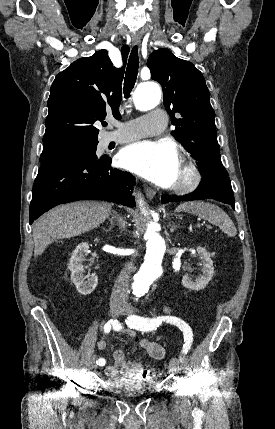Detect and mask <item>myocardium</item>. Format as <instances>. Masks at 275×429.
<instances>
[{"instance_id":"myocardium-1","label":"myocardium","mask_w":275,"mask_h":429,"mask_svg":"<svg viewBox=\"0 0 275 429\" xmlns=\"http://www.w3.org/2000/svg\"><path fill=\"white\" fill-rule=\"evenodd\" d=\"M180 166L183 171L182 178L172 186L173 192L186 194L194 191L202 180V174L197 164L186 156H181Z\"/></svg>"}]
</instances>
